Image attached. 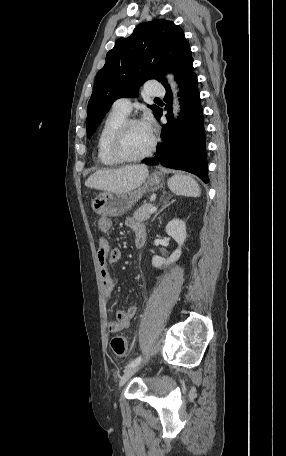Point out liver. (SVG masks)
<instances>
[{
  "mask_svg": "<svg viewBox=\"0 0 286 456\" xmlns=\"http://www.w3.org/2000/svg\"><path fill=\"white\" fill-rule=\"evenodd\" d=\"M145 165H129L119 169H100L85 181V186L111 193H127L140 187L148 177Z\"/></svg>",
  "mask_w": 286,
  "mask_h": 456,
  "instance_id": "liver-1",
  "label": "liver"
}]
</instances>
